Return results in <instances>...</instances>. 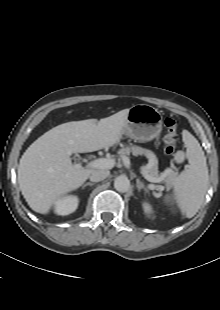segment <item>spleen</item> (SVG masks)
<instances>
[{"label":"spleen","mask_w":220,"mask_h":310,"mask_svg":"<svg viewBox=\"0 0 220 310\" xmlns=\"http://www.w3.org/2000/svg\"><path fill=\"white\" fill-rule=\"evenodd\" d=\"M189 166L174 181V195L182 215L192 218L199 210L207 190L209 175L206 157L197 139L182 133Z\"/></svg>","instance_id":"1"}]
</instances>
